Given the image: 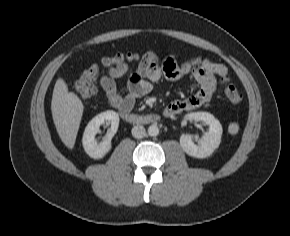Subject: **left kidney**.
<instances>
[{
    "label": "left kidney",
    "instance_id": "left-kidney-1",
    "mask_svg": "<svg viewBox=\"0 0 290 236\" xmlns=\"http://www.w3.org/2000/svg\"><path fill=\"white\" fill-rule=\"evenodd\" d=\"M185 120L202 121L209 125V130L199 139L198 145L192 141L190 135L182 134L180 145L190 156L206 158L217 149L221 142L222 126L220 122L208 112H194L185 116Z\"/></svg>",
    "mask_w": 290,
    "mask_h": 236
}]
</instances>
